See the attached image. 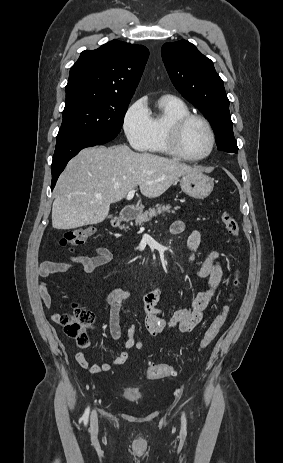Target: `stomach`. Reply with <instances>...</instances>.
Wrapping results in <instances>:
<instances>
[{
  "label": "stomach",
  "instance_id": "0dacf381",
  "mask_svg": "<svg viewBox=\"0 0 283 463\" xmlns=\"http://www.w3.org/2000/svg\"><path fill=\"white\" fill-rule=\"evenodd\" d=\"M180 187L186 195L196 199H204L212 192L214 181L211 177L198 171L183 175L180 179Z\"/></svg>",
  "mask_w": 283,
  "mask_h": 463
}]
</instances>
